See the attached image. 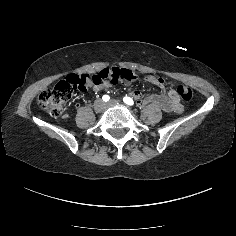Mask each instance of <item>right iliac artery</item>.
Masks as SVG:
<instances>
[{"instance_id": "82829eb1", "label": "right iliac artery", "mask_w": 236, "mask_h": 236, "mask_svg": "<svg viewBox=\"0 0 236 236\" xmlns=\"http://www.w3.org/2000/svg\"><path fill=\"white\" fill-rule=\"evenodd\" d=\"M102 99H103L104 102H107V101L110 100V97H109L108 95H104V96L102 97Z\"/></svg>"}]
</instances>
